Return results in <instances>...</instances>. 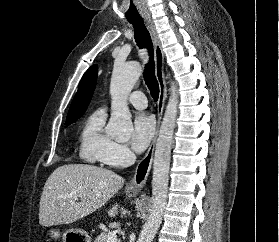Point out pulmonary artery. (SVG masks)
I'll use <instances>...</instances> for the list:
<instances>
[{
    "label": "pulmonary artery",
    "instance_id": "obj_1",
    "mask_svg": "<svg viewBox=\"0 0 279 242\" xmlns=\"http://www.w3.org/2000/svg\"><path fill=\"white\" fill-rule=\"evenodd\" d=\"M129 103L137 108V109H144L147 107V99L146 96L143 92L141 91H135L133 92L129 98H128Z\"/></svg>",
    "mask_w": 279,
    "mask_h": 242
}]
</instances>
